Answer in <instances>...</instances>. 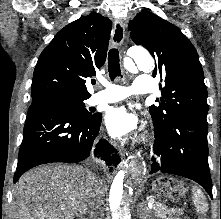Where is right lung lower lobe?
<instances>
[{"mask_svg": "<svg viewBox=\"0 0 221 219\" xmlns=\"http://www.w3.org/2000/svg\"><path fill=\"white\" fill-rule=\"evenodd\" d=\"M102 115L82 119L69 110L31 105L24 125L14 183L27 170L45 163L80 162L113 147L97 138ZM109 161V158H102Z\"/></svg>", "mask_w": 221, "mask_h": 219, "instance_id": "obj_1", "label": "right lung lower lobe"}]
</instances>
